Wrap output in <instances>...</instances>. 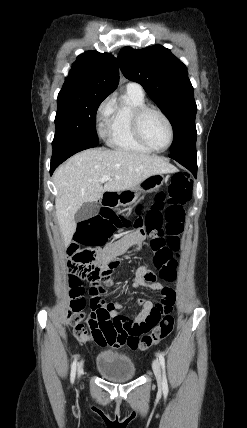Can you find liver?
Instances as JSON below:
<instances>
[{
    "label": "liver",
    "instance_id": "1",
    "mask_svg": "<svg viewBox=\"0 0 247 428\" xmlns=\"http://www.w3.org/2000/svg\"><path fill=\"white\" fill-rule=\"evenodd\" d=\"M177 168L159 156L126 150H84L60 166L54 174L58 193L56 217L63 242L68 246L76 231L75 214L86 202H96L105 192L136 187L155 174L173 173ZM110 180L100 182L105 176Z\"/></svg>",
    "mask_w": 247,
    "mask_h": 428
}]
</instances>
